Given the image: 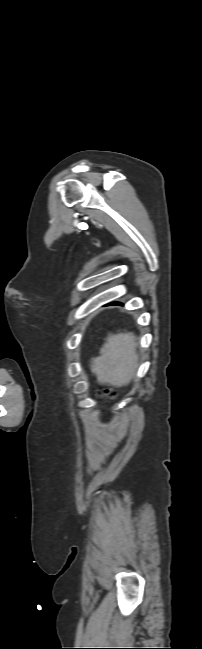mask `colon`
<instances>
[{"instance_id":"1","label":"colon","mask_w":202,"mask_h":649,"mask_svg":"<svg viewBox=\"0 0 202 649\" xmlns=\"http://www.w3.org/2000/svg\"><path fill=\"white\" fill-rule=\"evenodd\" d=\"M99 395L105 400H113L116 397V392L113 389H106L101 391Z\"/></svg>"}]
</instances>
